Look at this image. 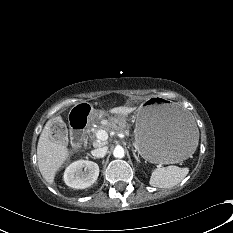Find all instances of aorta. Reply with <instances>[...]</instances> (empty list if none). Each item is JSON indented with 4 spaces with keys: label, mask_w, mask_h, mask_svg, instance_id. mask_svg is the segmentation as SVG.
Wrapping results in <instances>:
<instances>
[{
    "label": "aorta",
    "mask_w": 233,
    "mask_h": 233,
    "mask_svg": "<svg viewBox=\"0 0 233 233\" xmlns=\"http://www.w3.org/2000/svg\"><path fill=\"white\" fill-rule=\"evenodd\" d=\"M124 154H125L124 149L121 146H117L113 150V155L115 158H123Z\"/></svg>",
    "instance_id": "1"
}]
</instances>
